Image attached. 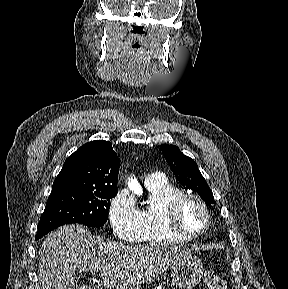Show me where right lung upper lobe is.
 I'll list each match as a JSON object with an SVG mask.
<instances>
[{
    "label": "right lung upper lobe",
    "mask_w": 288,
    "mask_h": 289,
    "mask_svg": "<svg viewBox=\"0 0 288 289\" xmlns=\"http://www.w3.org/2000/svg\"><path fill=\"white\" fill-rule=\"evenodd\" d=\"M120 159L108 141L84 144L65 160L52 191L117 189Z\"/></svg>",
    "instance_id": "1"
}]
</instances>
